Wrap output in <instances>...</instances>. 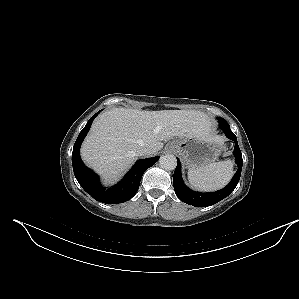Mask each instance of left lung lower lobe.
<instances>
[{"instance_id": "obj_1", "label": "left lung lower lobe", "mask_w": 299, "mask_h": 299, "mask_svg": "<svg viewBox=\"0 0 299 299\" xmlns=\"http://www.w3.org/2000/svg\"><path fill=\"white\" fill-rule=\"evenodd\" d=\"M218 121L219 126L224 131L225 135L235 142L233 154L236 158L235 162L238 165V170L235 173L231 182L225 188L212 193H199L187 188V186L184 185L181 178V164L180 161L177 159V167L173 176V186L175 193L181 201L195 207H207L226 198L235 189L240 179L243 160L241 151L238 146L237 138L232 133L229 124L224 119L218 118Z\"/></svg>"}]
</instances>
